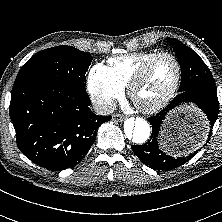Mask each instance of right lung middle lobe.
I'll list each match as a JSON object with an SVG mask.
<instances>
[{"instance_id":"dd1d6c3e","label":"right lung middle lobe","mask_w":222,"mask_h":222,"mask_svg":"<svg viewBox=\"0 0 222 222\" xmlns=\"http://www.w3.org/2000/svg\"><path fill=\"white\" fill-rule=\"evenodd\" d=\"M91 61L90 53L71 46L48 48L32 56L22 66L15 81L46 79L86 91L85 73Z\"/></svg>"}]
</instances>
